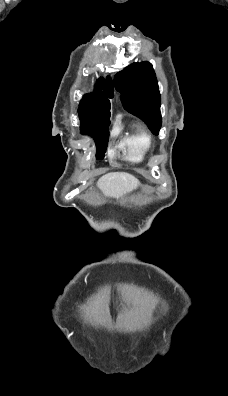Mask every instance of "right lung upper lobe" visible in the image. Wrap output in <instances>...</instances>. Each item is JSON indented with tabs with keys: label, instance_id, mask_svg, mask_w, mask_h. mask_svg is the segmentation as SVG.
<instances>
[{
	"label": "right lung upper lobe",
	"instance_id": "1",
	"mask_svg": "<svg viewBox=\"0 0 228 396\" xmlns=\"http://www.w3.org/2000/svg\"><path fill=\"white\" fill-rule=\"evenodd\" d=\"M97 86L92 94H86L79 107L80 119H92L110 113V101L114 95V88L111 78H100L96 82Z\"/></svg>",
	"mask_w": 228,
	"mask_h": 396
}]
</instances>
